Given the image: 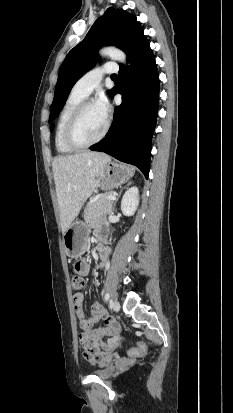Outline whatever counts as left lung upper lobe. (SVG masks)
I'll use <instances>...</instances> for the list:
<instances>
[{
    "label": "left lung upper lobe",
    "mask_w": 233,
    "mask_h": 413,
    "mask_svg": "<svg viewBox=\"0 0 233 413\" xmlns=\"http://www.w3.org/2000/svg\"><path fill=\"white\" fill-rule=\"evenodd\" d=\"M145 38L142 27L134 15L122 9L108 8L62 63L50 108L49 122L58 116L74 84L96 61H99L96 51L100 46L114 45L128 56Z\"/></svg>",
    "instance_id": "left-lung-upper-lobe-1"
}]
</instances>
